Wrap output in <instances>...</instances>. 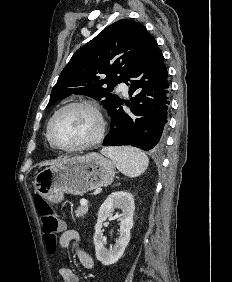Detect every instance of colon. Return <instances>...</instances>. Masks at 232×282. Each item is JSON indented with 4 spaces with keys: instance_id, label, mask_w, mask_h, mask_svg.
Instances as JSON below:
<instances>
[{
    "instance_id": "colon-1",
    "label": "colon",
    "mask_w": 232,
    "mask_h": 282,
    "mask_svg": "<svg viewBox=\"0 0 232 282\" xmlns=\"http://www.w3.org/2000/svg\"><path fill=\"white\" fill-rule=\"evenodd\" d=\"M35 206L41 218L47 251L52 254L57 249V238L62 230V222L53 208L39 195L35 197Z\"/></svg>"
}]
</instances>
